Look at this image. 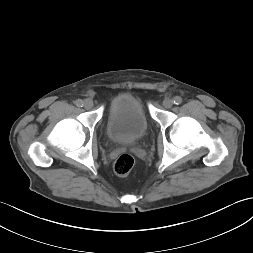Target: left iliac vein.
<instances>
[{"mask_svg":"<svg viewBox=\"0 0 253 253\" xmlns=\"http://www.w3.org/2000/svg\"><path fill=\"white\" fill-rule=\"evenodd\" d=\"M172 105H173V100H172V99H170V98H165V99L163 100V106H164L165 108H171Z\"/></svg>","mask_w":253,"mask_h":253,"instance_id":"obj_1","label":"left iliac vein"}]
</instances>
